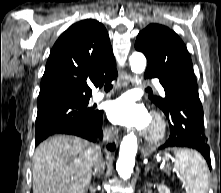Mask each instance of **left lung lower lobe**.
Instances as JSON below:
<instances>
[{
	"instance_id": "left-lung-lower-lobe-1",
	"label": "left lung lower lobe",
	"mask_w": 221,
	"mask_h": 193,
	"mask_svg": "<svg viewBox=\"0 0 221 193\" xmlns=\"http://www.w3.org/2000/svg\"><path fill=\"white\" fill-rule=\"evenodd\" d=\"M146 78H158L165 90L166 106L160 107L170 123V137L159 149L187 147L200 152L211 169L210 148L204 132L203 108L196 79L169 76L147 67Z\"/></svg>"
}]
</instances>
